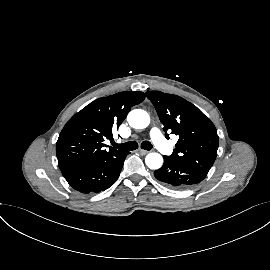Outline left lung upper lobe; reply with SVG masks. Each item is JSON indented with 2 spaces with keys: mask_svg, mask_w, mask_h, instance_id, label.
Segmentation results:
<instances>
[{
  "mask_svg": "<svg viewBox=\"0 0 270 270\" xmlns=\"http://www.w3.org/2000/svg\"><path fill=\"white\" fill-rule=\"evenodd\" d=\"M154 105L165 136L168 132L179 136L176 148L170 156L208 173L212 167L219 144L213 123L192 103L172 94L147 91Z\"/></svg>",
  "mask_w": 270,
  "mask_h": 270,
  "instance_id": "5c2ea615",
  "label": "left lung upper lobe"
}]
</instances>
